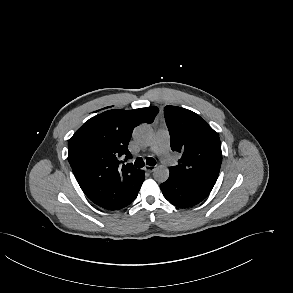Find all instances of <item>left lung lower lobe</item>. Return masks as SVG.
<instances>
[{
    "mask_svg": "<svg viewBox=\"0 0 293 293\" xmlns=\"http://www.w3.org/2000/svg\"><path fill=\"white\" fill-rule=\"evenodd\" d=\"M213 184L185 179L170 173L166 182L160 185L164 197L173 205L181 208L194 206L204 200Z\"/></svg>",
    "mask_w": 293,
    "mask_h": 293,
    "instance_id": "left-lung-lower-lobe-1",
    "label": "left lung lower lobe"
}]
</instances>
